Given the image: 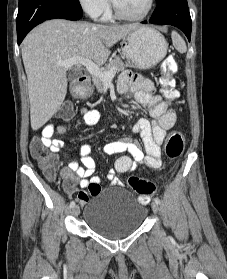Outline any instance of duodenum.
<instances>
[{"instance_id":"1","label":"duodenum","mask_w":227,"mask_h":279,"mask_svg":"<svg viewBox=\"0 0 227 279\" xmlns=\"http://www.w3.org/2000/svg\"><path fill=\"white\" fill-rule=\"evenodd\" d=\"M86 80L84 77H79L73 85L72 94L75 98H84L86 91Z\"/></svg>"}]
</instances>
